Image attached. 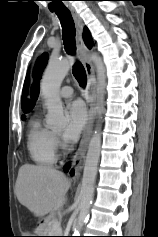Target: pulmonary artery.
I'll list each match as a JSON object with an SVG mask.
<instances>
[{"instance_id": "obj_1", "label": "pulmonary artery", "mask_w": 158, "mask_h": 237, "mask_svg": "<svg viewBox=\"0 0 158 237\" xmlns=\"http://www.w3.org/2000/svg\"><path fill=\"white\" fill-rule=\"evenodd\" d=\"M59 95L63 98H70L73 96V88L70 86H63L59 91Z\"/></svg>"}]
</instances>
